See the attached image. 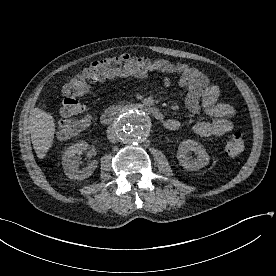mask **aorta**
I'll return each instance as SVG.
<instances>
[{"mask_svg":"<svg viewBox=\"0 0 276 276\" xmlns=\"http://www.w3.org/2000/svg\"><path fill=\"white\" fill-rule=\"evenodd\" d=\"M117 130L123 142L130 144L141 142L149 132L148 116L141 109L129 108L120 115Z\"/></svg>","mask_w":276,"mask_h":276,"instance_id":"obj_1","label":"aorta"}]
</instances>
